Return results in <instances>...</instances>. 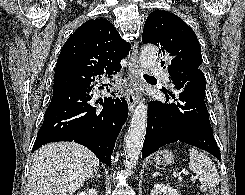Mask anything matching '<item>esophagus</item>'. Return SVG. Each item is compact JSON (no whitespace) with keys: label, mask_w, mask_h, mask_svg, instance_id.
I'll return each instance as SVG.
<instances>
[{"label":"esophagus","mask_w":245,"mask_h":195,"mask_svg":"<svg viewBox=\"0 0 245 195\" xmlns=\"http://www.w3.org/2000/svg\"><path fill=\"white\" fill-rule=\"evenodd\" d=\"M141 68L138 56V42H135L132 54L128 62V80L129 88L126 93V101L128 103L129 111L132 114L139 96V82H140Z\"/></svg>","instance_id":"obj_1"}]
</instances>
